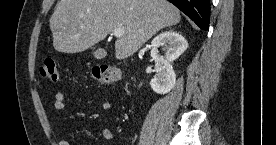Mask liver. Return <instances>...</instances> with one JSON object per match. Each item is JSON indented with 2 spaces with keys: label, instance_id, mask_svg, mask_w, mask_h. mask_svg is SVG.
I'll return each mask as SVG.
<instances>
[{
  "label": "liver",
  "instance_id": "6515ba94",
  "mask_svg": "<svg viewBox=\"0 0 276 145\" xmlns=\"http://www.w3.org/2000/svg\"><path fill=\"white\" fill-rule=\"evenodd\" d=\"M180 19V11L167 0H60L49 25L53 47L62 53L85 51L121 28L123 35L115 42L121 60Z\"/></svg>",
  "mask_w": 276,
  "mask_h": 145
}]
</instances>
